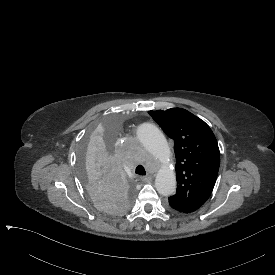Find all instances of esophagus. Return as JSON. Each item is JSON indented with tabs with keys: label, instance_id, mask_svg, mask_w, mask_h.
I'll return each instance as SVG.
<instances>
[{
	"label": "esophagus",
	"instance_id": "esophagus-1",
	"mask_svg": "<svg viewBox=\"0 0 275 275\" xmlns=\"http://www.w3.org/2000/svg\"><path fill=\"white\" fill-rule=\"evenodd\" d=\"M142 181H144V182H150L151 181V177H142Z\"/></svg>",
	"mask_w": 275,
	"mask_h": 275
}]
</instances>
